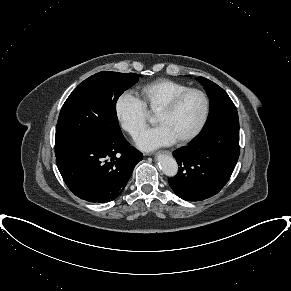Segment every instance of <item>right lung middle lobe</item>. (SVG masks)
Instances as JSON below:
<instances>
[{
    "mask_svg": "<svg viewBox=\"0 0 291 291\" xmlns=\"http://www.w3.org/2000/svg\"><path fill=\"white\" fill-rule=\"evenodd\" d=\"M139 76L106 71L80 83L60 111L55 137L56 157L77 144L106 141L121 135L116 102Z\"/></svg>",
    "mask_w": 291,
    "mask_h": 291,
    "instance_id": "right-lung-middle-lobe-1",
    "label": "right lung middle lobe"
}]
</instances>
